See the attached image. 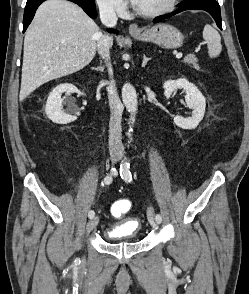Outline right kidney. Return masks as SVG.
I'll return each instance as SVG.
<instances>
[{"mask_svg": "<svg viewBox=\"0 0 249 294\" xmlns=\"http://www.w3.org/2000/svg\"><path fill=\"white\" fill-rule=\"evenodd\" d=\"M77 93L78 95H84L83 92L78 90L74 85L69 83H64L56 86L52 92L49 94L45 112L47 117L57 124H67L77 119L76 111L72 110L73 105L72 101H68L69 109L66 112H63L62 103L63 99L61 98L63 93Z\"/></svg>", "mask_w": 249, "mask_h": 294, "instance_id": "1", "label": "right kidney"}]
</instances>
